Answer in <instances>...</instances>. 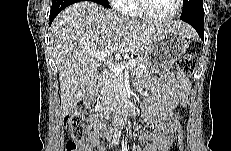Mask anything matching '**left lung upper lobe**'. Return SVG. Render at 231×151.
I'll return each instance as SVG.
<instances>
[{
    "label": "left lung upper lobe",
    "mask_w": 231,
    "mask_h": 151,
    "mask_svg": "<svg viewBox=\"0 0 231 151\" xmlns=\"http://www.w3.org/2000/svg\"><path fill=\"white\" fill-rule=\"evenodd\" d=\"M204 11L203 0H183V16L191 15L194 11Z\"/></svg>",
    "instance_id": "left-lung-upper-lobe-1"
}]
</instances>
